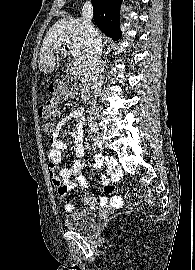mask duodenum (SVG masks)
Segmentation results:
<instances>
[{
  "mask_svg": "<svg viewBox=\"0 0 195 270\" xmlns=\"http://www.w3.org/2000/svg\"><path fill=\"white\" fill-rule=\"evenodd\" d=\"M71 73L74 75H78L81 74L83 75V85H82V89L80 92V97L82 100H87L94 88V83L89 75V72L86 68V66L84 65H74L71 67Z\"/></svg>",
  "mask_w": 195,
  "mask_h": 270,
  "instance_id": "1",
  "label": "duodenum"
}]
</instances>
